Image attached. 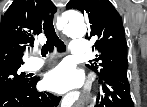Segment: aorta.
Listing matches in <instances>:
<instances>
[{
	"mask_svg": "<svg viewBox=\"0 0 147 107\" xmlns=\"http://www.w3.org/2000/svg\"><path fill=\"white\" fill-rule=\"evenodd\" d=\"M63 32L72 38L83 37L87 32V27L80 17H69L63 23Z\"/></svg>",
	"mask_w": 147,
	"mask_h": 107,
	"instance_id": "aorta-1",
	"label": "aorta"
}]
</instances>
